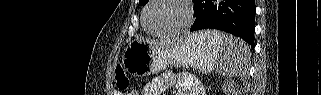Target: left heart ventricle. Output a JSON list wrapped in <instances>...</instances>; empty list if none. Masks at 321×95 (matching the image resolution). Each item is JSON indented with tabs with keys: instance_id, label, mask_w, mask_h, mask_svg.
Returning <instances> with one entry per match:
<instances>
[{
	"instance_id": "obj_1",
	"label": "left heart ventricle",
	"mask_w": 321,
	"mask_h": 95,
	"mask_svg": "<svg viewBox=\"0 0 321 95\" xmlns=\"http://www.w3.org/2000/svg\"><path fill=\"white\" fill-rule=\"evenodd\" d=\"M185 20V8L176 0H159L150 7L147 15V25L156 33L180 28Z\"/></svg>"
}]
</instances>
